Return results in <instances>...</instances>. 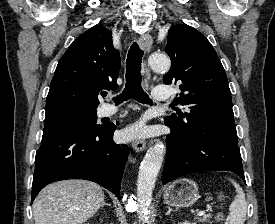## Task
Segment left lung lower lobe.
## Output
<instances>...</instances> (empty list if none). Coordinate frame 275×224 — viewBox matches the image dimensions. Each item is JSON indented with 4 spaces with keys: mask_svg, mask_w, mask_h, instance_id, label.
Masks as SVG:
<instances>
[{
    "mask_svg": "<svg viewBox=\"0 0 275 224\" xmlns=\"http://www.w3.org/2000/svg\"><path fill=\"white\" fill-rule=\"evenodd\" d=\"M165 124L171 133L167 135L162 184L190 173L220 170L232 171L245 182L237 132L208 125L182 131L166 121Z\"/></svg>",
    "mask_w": 275,
    "mask_h": 224,
    "instance_id": "obj_1",
    "label": "left lung lower lobe"
}]
</instances>
